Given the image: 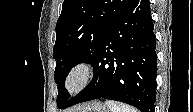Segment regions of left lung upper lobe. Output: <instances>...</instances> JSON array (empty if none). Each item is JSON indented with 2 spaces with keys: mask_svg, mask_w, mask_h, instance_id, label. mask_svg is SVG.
Returning a JSON list of instances; mask_svg holds the SVG:
<instances>
[{
  "mask_svg": "<svg viewBox=\"0 0 193 112\" xmlns=\"http://www.w3.org/2000/svg\"><path fill=\"white\" fill-rule=\"evenodd\" d=\"M133 0H64L53 57L59 108L69 100L65 79L79 63H92L107 32Z\"/></svg>",
  "mask_w": 193,
  "mask_h": 112,
  "instance_id": "obj_1",
  "label": "left lung upper lobe"
}]
</instances>
